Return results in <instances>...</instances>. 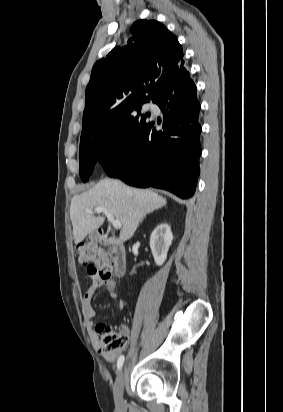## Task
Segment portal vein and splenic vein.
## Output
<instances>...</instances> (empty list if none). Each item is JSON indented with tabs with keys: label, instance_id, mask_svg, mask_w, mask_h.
I'll list each match as a JSON object with an SVG mask.
<instances>
[{
	"label": "portal vein and splenic vein",
	"instance_id": "obj_1",
	"mask_svg": "<svg viewBox=\"0 0 283 412\" xmlns=\"http://www.w3.org/2000/svg\"><path fill=\"white\" fill-rule=\"evenodd\" d=\"M86 212H87V213H90V214H93V213H97V214L104 213V214L106 215L108 221L112 224V226H113L115 229H120V228L122 227L121 222H120L119 220L115 219V218L113 217V215H112L106 208H104V207H96V208L94 209V211L91 210V209H86Z\"/></svg>",
	"mask_w": 283,
	"mask_h": 412
}]
</instances>
